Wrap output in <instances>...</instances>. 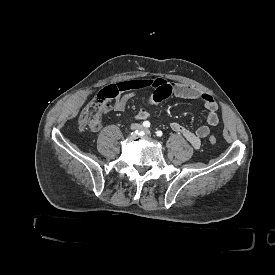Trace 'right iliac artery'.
<instances>
[{
    "label": "right iliac artery",
    "mask_w": 275,
    "mask_h": 275,
    "mask_svg": "<svg viewBox=\"0 0 275 275\" xmlns=\"http://www.w3.org/2000/svg\"><path fill=\"white\" fill-rule=\"evenodd\" d=\"M142 125H143V127L148 128V127H150V122L144 121Z\"/></svg>",
    "instance_id": "82829eb1"
}]
</instances>
